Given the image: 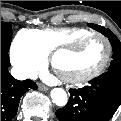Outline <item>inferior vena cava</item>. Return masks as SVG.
Masks as SVG:
<instances>
[{
  "mask_svg": "<svg viewBox=\"0 0 121 121\" xmlns=\"http://www.w3.org/2000/svg\"><path fill=\"white\" fill-rule=\"evenodd\" d=\"M11 74L14 78L18 80H25L27 78L32 79V80L37 79V74L34 70L24 71V70L13 68L11 70Z\"/></svg>",
  "mask_w": 121,
  "mask_h": 121,
  "instance_id": "obj_1",
  "label": "inferior vena cava"
}]
</instances>
